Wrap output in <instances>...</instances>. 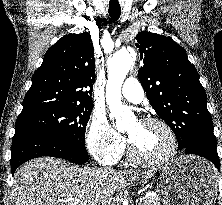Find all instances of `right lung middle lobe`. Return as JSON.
I'll return each instance as SVG.
<instances>
[{
  "mask_svg": "<svg viewBox=\"0 0 222 205\" xmlns=\"http://www.w3.org/2000/svg\"><path fill=\"white\" fill-rule=\"evenodd\" d=\"M91 111L92 105H56L22 112L15 133L42 132L85 148V129Z\"/></svg>",
  "mask_w": 222,
  "mask_h": 205,
  "instance_id": "obj_1",
  "label": "right lung middle lobe"
}]
</instances>
